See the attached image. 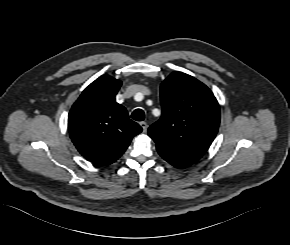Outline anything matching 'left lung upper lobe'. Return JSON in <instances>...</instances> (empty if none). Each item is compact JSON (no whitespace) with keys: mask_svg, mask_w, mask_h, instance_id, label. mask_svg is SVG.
Instances as JSON below:
<instances>
[{"mask_svg":"<svg viewBox=\"0 0 290 245\" xmlns=\"http://www.w3.org/2000/svg\"><path fill=\"white\" fill-rule=\"evenodd\" d=\"M162 117L148 129L156 147L195 163L208 150L219 128V104L196 78L173 72L161 84Z\"/></svg>","mask_w":290,"mask_h":245,"instance_id":"1","label":"left lung upper lobe"}]
</instances>
